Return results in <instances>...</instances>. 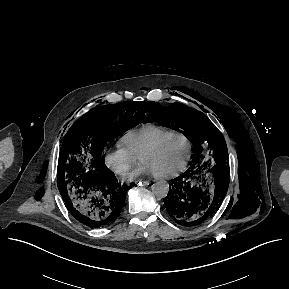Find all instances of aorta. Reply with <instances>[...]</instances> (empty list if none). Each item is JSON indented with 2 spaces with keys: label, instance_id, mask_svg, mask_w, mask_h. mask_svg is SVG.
<instances>
[{
  "label": "aorta",
  "instance_id": "762f6f07",
  "mask_svg": "<svg viewBox=\"0 0 289 289\" xmlns=\"http://www.w3.org/2000/svg\"><path fill=\"white\" fill-rule=\"evenodd\" d=\"M151 190L156 197L165 198L169 192V184L165 180H159L151 186Z\"/></svg>",
  "mask_w": 289,
  "mask_h": 289
}]
</instances>
